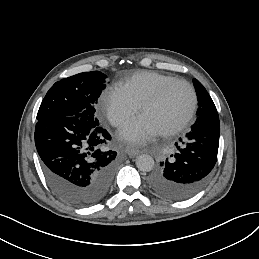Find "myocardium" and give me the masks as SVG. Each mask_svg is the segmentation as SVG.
I'll list each match as a JSON object with an SVG mask.
<instances>
[{
  "label": "myocardium",
  "mask_w": 259,
  "mask_h": 259,
  "mask_svg": "<svg viewBox=\"0 0 259 259\" xmlns=\"http://www.w3.org/2000/svg\"><path fill=\"white\" fill-rule=\"evenodd\" d=\"M175 83H182L187 86V88L189 89V91L191 93V105H190L189 110L186 113V115L181 120H179L174 127H172L171 129H169L165 132L159 133V135L161 137L167 138V137L175 136L176 134L181 132L192 120V118L194 117L195 112L197 110V106H198V96H197L195 87L193 86L192 83H190L189 81H187L183 78L173 77V78H170V79L164 81L163 83H161L157 87L156 92L151 97L144 100L142 102V104L140 105L139 115L144 110L156 105L162 99V97L165 94V92L167 91V89Z\"/></svg>",
  "instance_id": "myocardium-1"
}]
</instances>
